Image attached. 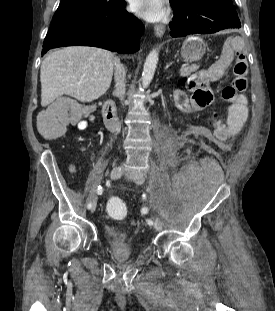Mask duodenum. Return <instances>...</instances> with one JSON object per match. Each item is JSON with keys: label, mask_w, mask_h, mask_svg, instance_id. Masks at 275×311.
Listing matches in <instances>:
<instances>
[{"label": "duodenum", "mask_w": 275, "mask_h": 311, "mask_svg": "<svg viewBox=\"0 0 275 311\" xmlns=\"http://www.w3.org/2000/svg\"><path fill=\"white\" fill-rule=\"evenodd\" d=\"M102 115L106 128L115 132L119 124L116 104L113 101H106L102 107Z\"/></svg>", "instance_id": "1"}]
</instances>
